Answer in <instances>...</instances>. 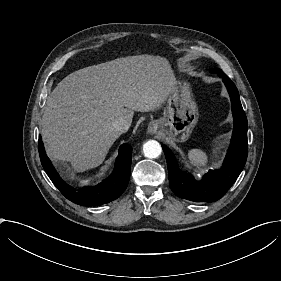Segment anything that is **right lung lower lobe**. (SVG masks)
<instances>
[{
    "label": "right lung lower lobe",
    "mask_w": 281,
    "mask_h": 281,
    "mask_svg": "<svg viewBox=\"0 0 281 281\" xmlns=\"http://www.w3.org/2000/svg\"><path fill=\"white\" fill-rule=\"evenodd\" d=\"M39 154L42 166L60 192L70 201L82 206H99L117 199L126 189L131 170L132 148L123 144L119 148L113 173L102 183L93 187H84L79 192L66 184L56 172L47 157L41 136H39Z\"/></svg>",
    "instance_id": "right-lung-lower-lobe-1"
}]
</instances>
